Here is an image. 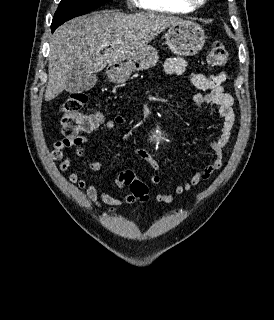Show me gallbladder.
<instances>
[{"label":"gallbladder","mask_w":274,"mask_h":320,"mask_svg":"<svg viewBox=\"0 0 274 320\" xmlns=\"http://www.w3.org/2000/svg\"><path fill=\"white\" fill-rule=\"evenodd\" d=\"M65 84L67 95H79L94 88L98 78L92 74V68H69Z\"/></svg>","instance_id":"bac80fb5"}]
</instances>
